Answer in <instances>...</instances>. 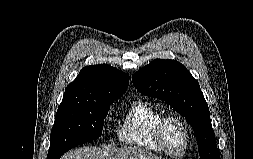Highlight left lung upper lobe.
Listing matches in <instances>:
<instances>
[{"label":"left lung upper lobe","instance_id":"obj_1","mask_svg":"<svg viewBox=\"0 0 253 159\" xmlns=\"http://www.w3.org/2000/svg\"><path fill=\"white\" fill-rule=\"evenodd\" d=\"M137 90L161 99L183 115L196 134L201 159H220L207 102L199 83L175 60H153L132 77Z\"/></svg>","mask_w":253,"mask_h":159}]
</instances>
